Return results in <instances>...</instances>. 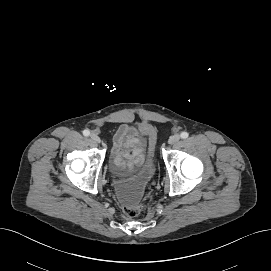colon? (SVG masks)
I'll return each mask as SVG.
<instances>
[{
  "label": "colon",
  "instance_id": "colon-1",
  "mask_svg": "<svg viewBox=\"0 0 271 271\" xmlns=\"http://www.w3.org/2000/svg\"><path fill=\"white\" fill-rule=\"evenodd\" d=\"M143 210L141 205H127L122 208V213L127 218L138 216Z\"/></svg>",
  "mask_w": 271,
  "mask_h": 271
}]
</instances>
